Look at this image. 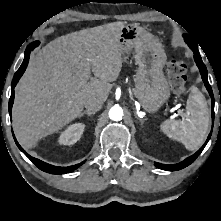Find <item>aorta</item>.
<instances>
[{"mask_svg":"<svg viewBox=\"0 0 221 221\" xmlns=\"http://www.w3.org/2000/svg\"><path fill=\"white\" fill-rule=\"evenodd\" d=\"M123 117V109L115 105L109 110V118L113 121H120Z\"/></svg>","mask_w":221,"mask_h":221,"instance_id":"obj_1","label":"aorta"}]
</instances>
